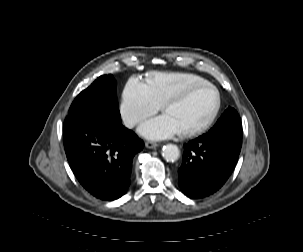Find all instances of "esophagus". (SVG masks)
Masks as SVG:
<instances>
[{
	"mask_svg": "<svg viewBox=\"0 0 303 252\" xmlns=\"http://www.w3.org/2000/svg\"><path fill=\"white\" fill-rule=\"evenodd\" d=\"M145 146L149 149H155L159 146V144L156 142H152V141H146Z\"/></svg>",
	"mask_w": 303,
	"mask_h": 252,
	"instance_id": "1",
	"label": "esophagus"
}]
</instances>
